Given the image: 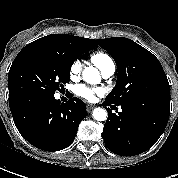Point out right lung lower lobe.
<instances>
[{
  "instance_id": "obj_1",
  "label": "right lung lower lobe",
  "mask_w": 178,
  "mask_h": 178,
  "mask_svg": "<svg viewBox=\"0 0 178 178\" xmlns=\"http://www.w3.org/2000/svg\"><path fill=\"white\" fill-rule=\"evenodd\" d=\"M9 105L20 134L45 151L68 147L87 116L85 103L76 97L61 103L54 95L13 94Z\"/></svg>"
}]
</instances>
